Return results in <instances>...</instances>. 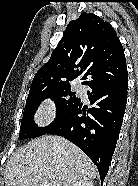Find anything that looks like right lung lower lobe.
Here are the masks:
<instances>
[{
  "label": "right lung lower lobe",
  "mask_w": 138,
  "mask_h": 186,
  "mask_svg": "<svg viewBox=\"0 0 138 186\" xmlns=\"http://www.w3.org/2000/svg\"><path fill=\"white\" fill-rule=\"evenodd\" d=\"M88 99L92 108L84 109L81 100L46 134L63 136L97 166L104 180L119 137L126 108L128 77L113 83L89 84Z\"/></svg>",
  "instance_id": "1"
}]
</instances>
